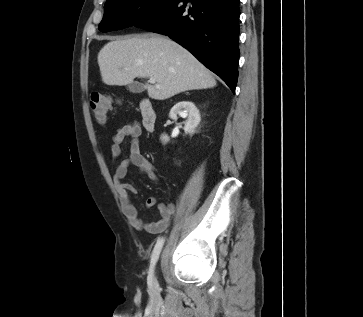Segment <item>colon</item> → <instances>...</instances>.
<instances>
[{"label": "colon", "instance_id": "1", "mask_svg": "<svg viewBox=\"0 0 363 317\" xmlns=\"http://www.w3.org/2000/svg\"><path fill=\"white\" fill-rule=\"evenodd\" d=\"M113 102V99L110 96L101 94V93H93L89 100V107L94 116V118L99 123H105L107 120V114L109 108Z\"/></svg>", "mask_w": 363, "mask_h": 317}]
</instances>
